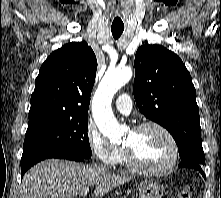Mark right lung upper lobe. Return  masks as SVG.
<instances>
[{"instance_id": "right-lung-upper-lobe-1", "label": "right lung upper lobe", "mask_w": 221, "mask_h": 198, "mask_svg": "<svg viewBox=\"0 0 221 198\" xmlns=\"http://www.w3.org/2000/svg\"><path fill=\"white\" fill-rule=\"evenodd\" d=\"M96 69L95 54L84 41L68 43L50 54L35 80L29 122L88 117Z\"/></svg>"}]
</instances>
